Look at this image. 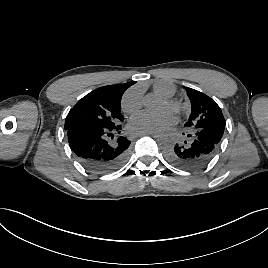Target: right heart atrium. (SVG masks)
<instances>
[{
    "label": "right heart atrium",
    "instance_id": "obj_1",
    "mask_svg": "<svg viewBox=\"0 0 268 268\" xmlns=\"http://www.w3.org/2000/svg\"><path fill=\"white\" fill-rule=\"evenodd\" d=\"M122 110L125 113L133 114L138 112L142 107L141 93L137 89L129 90L122 98Z\"/></svg>",
    "mask_w": 268,
    "mask_h": 268
}]
</instances>
